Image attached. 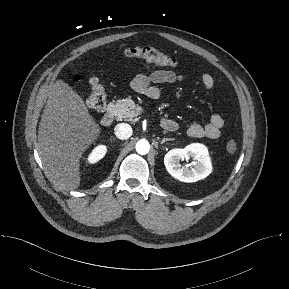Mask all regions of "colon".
<instances>
[{
	"mask_svg": "<svg viewBox=\"0 0 289 289\" xmlns=\"http://www.w3.org/2000/svg\"><path fill=\"white\" fill-rule=\"evenodd\" d=\"M124 56L130 59H143L155 65L172 68L177 65V62L171 56L163 53L151 45H139L127 48L124 51ZM91 90L85 98L86 105L95 111H103L106 107V93L97 78L91 77L89 80ZM228 153H234L237 150V143L231 139L226 143Z\"/></svg>",
	"mask_w": 289,
	"mask_h": 289,
	"instance_id": "1",
	"label": "colon"
}]
</instances>
